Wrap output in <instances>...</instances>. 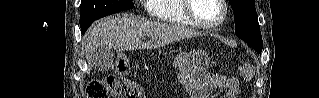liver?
Wrapping results in <instances>:
<instances>
[{
	"mask_svg": "<svg viewBox=\"0 0 319 98\" xmlns=\"http://www.w3.org/2000/svg\"><path fill=\"white\" fill-rule=\"evenodd\" d=\"M199 35V32L185 26L151 22L121 13L94 22L83 37V44L88 66L91 67V56L99 48L116 51L155 49ZM144 36L149 38L146 43L141 41Z\"/></svg>",
	"mask_w": 319,
	"mask_h": 98,
	"instance_id": "obj_1",
	"label": "liver"
}]
</instances>
